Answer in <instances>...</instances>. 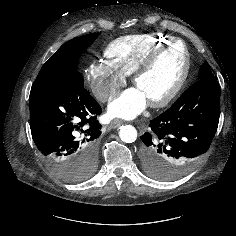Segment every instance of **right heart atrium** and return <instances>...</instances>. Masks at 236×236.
Returning <instances> with one entry per match:
<instances>
[{
  "instance_id": "right-heart-atrium-1",
  "label": "right heart atrium",
  "mask_w": 236,
  "mask_h": 236,
  "mask_svg": "<svg viewBox=\"0 0 236 236\" xmlns=\"http://www.w3.org/2000/svg\"><path fill=\"white\" fill-rule=\"evenodd\" d=\"M87 79L96 99L102 103L111 100L125 84V75L107 61L100 60L88 66Z\"/></svg>"
}]
</instances>
